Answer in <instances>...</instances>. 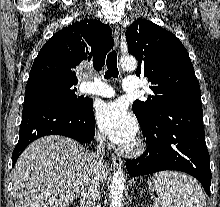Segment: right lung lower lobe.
<instances>
[{"instance_id":"right-lung-lower-lobe-1","label":"right lung lower lobe","mask_w":220,"mask_h":207,"mask_svg":"<svg viewBox=\"0 0 220 207\" xmlns=\"http://www.w3.org/2000/svg\"><path fill=\"white\" fill-rule=\"evenodd\" d=\"M93 103L73 107L53 91L27 87L20 125L19 141L13 151V166L32 141L46 135H63L82 143L93 140L95 121Z\"/></svg>"}]
</instances>
